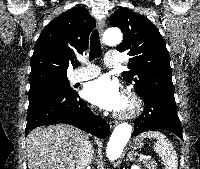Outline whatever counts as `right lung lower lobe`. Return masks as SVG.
<instances>
[{
  "mask_svg": "<svg viewBox=\"0 0 200 169\" xmlns=\"http://www.w3.org/2000/svg\"><path fill=\"white\" fill-rule=\"evenodd\" d=\"M67 123L104 138L109 134L107 122L93 114L76 91H55L29 99L26 135L42 125Z\"/></svg>",
  "mask_w": 200,
  "mask_h": 169,
  "instance_id": "1",
  "label": "right lung lower lobe"
}]
</instances>
